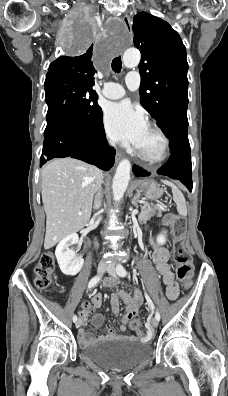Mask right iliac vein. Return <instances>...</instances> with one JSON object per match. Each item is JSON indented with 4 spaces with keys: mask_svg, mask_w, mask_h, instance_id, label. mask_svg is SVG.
I'll return each mask as SVG.
<instances>
[{
    "mask_svg": "<svg viewBox=\"0 0 228 396\" xmlns=\"http://www.w3.org/2000/svg\"><path fill=\"white\" fill-rule=\"evenodd\" d=\"M106 268H107V264L105 262H100L98 265L97 271L99 274H102L105 272ZM75 326H76V328H79L81 326V319H78L75 322Z\"/></svg>",
    "mask_w": 228,
    "mask_h": 396,
    "instance_id": "1",
    "label": "right iliac vein"
}]
</instances>
